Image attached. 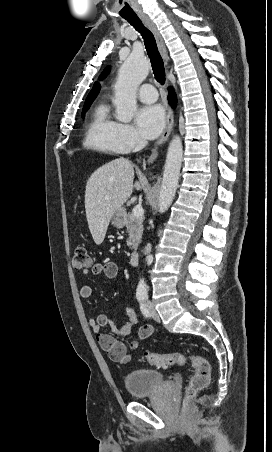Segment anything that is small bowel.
I'll return each instance as SVG.
<instances>
[{
    "mask_svg": "<svg viewBox=\"0 0 272 452\" xmlns=\"http://www.w3.org/2000/svg\"><path fill=\"white\" fill-rule=\"evenodd\" d=\"M91 271L95 276H104L107 279H114L118 275V266L113 261H106L103 263H95L91 267ZM89 274L88 269L82 271L83 276ZM93 289L90 285H83L80 288V297L84 300H89L92 297ZM127 321L120 327L117 328L114 320L107 314H101L96 318L89 319V325L93 332L97 334V341L100 347L107 351L112 358V351L116 346H121L125 351L124 347L120 345L117 341V337H126L131 333L134 327L137 325L138 318L135 310L128 306L126 308ZM109 326L111 328L110 334H105L102 332L103 328ZM154 327L151 325H144L138 329L137 337L133 341L136 346L143 340L149 338L154 334Z\"/></svg>",
    "mask_w": 272,
    "mask_h": 452,
    "instance_id": "small-bowel-1",
    "label": "small bowel"
}]
</instances>
